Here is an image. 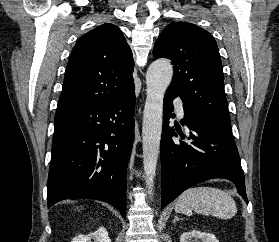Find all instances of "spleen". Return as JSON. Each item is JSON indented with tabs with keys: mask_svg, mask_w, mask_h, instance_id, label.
<instances>
[{
	"mask_svg": "<svg viewBox=\"0 0 279 242\" xmlns=\"http://www.w3.org/2000/svg\"><path fill=\"white\" fill-rule=\"evenodd\" d=\"M193 210L203 215L211 214L221 219H229L237 213V206L225 191L202 186L185 190L177 199L176 213L190 216Z\"/></svg>",
	"mask_w": 279,
	"mask_h": 242,
	"instance_id": "spleen-1",
	"label": "spleen"
}]
</instances>
